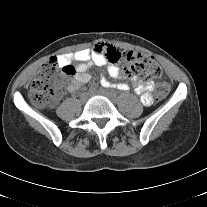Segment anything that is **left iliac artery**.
Listing matches in <instances>:
<instances>
[{
    "label": "left iliac artery",
    "mask_w": 207,
    "mask_h": 207,
    "mask_svg": "<svg viewBox=\"0 0 207 207\" xmlns=\"http://www.w3.org/2000/svg\"><path fill=\"white\" fill-rule=\"evenodd\" d=\"M117 88L120 90H128L129 89L127 84H118Z\"/></svg>",
    "instance_id": "left-iliac-artery-1"
}]
</instances>
